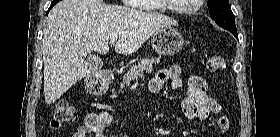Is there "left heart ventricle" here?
<instances>
[{
	"instance_id": "1",
	"label": "left heart ventricle",
	"mask_w": 280,
	"mask_h": 137,
	"mask_svg": "<svg viewBox=\"0 0 280 137\" xmlns=\"http://www.w3.org/2000/svg\"><path fill=\"white\" fill-rule=\"evenodd\" d=\"M197 0H171L172 7H184V6H193Z\"/></svg>"
}]
</instances>
